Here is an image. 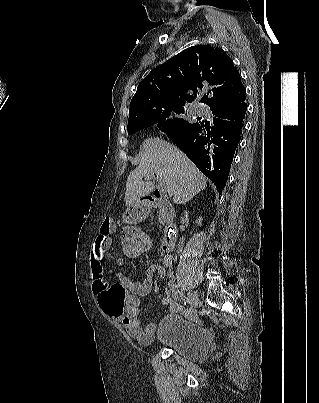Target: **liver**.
<instances>
[{"mask_svg": "<svg viewBox=\"0 0 319 403\" xmlns=\"http://www.w3.org/2000/svg\"><path fill=\"white\" fill-rule=\"evenodd\" d=\"M153 173L164 182L175 204L188 202L207 186L204 175L181 150L158 137L148 138L142 144L138 166L126 181L127 207L154 190V182L143 181Z\"/></svg>", "mask_w": 319, "mask_h": 403, "instance_id": "1", "label": "liver"}]
</instances>
